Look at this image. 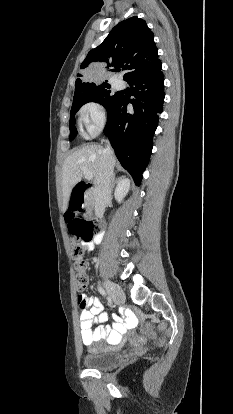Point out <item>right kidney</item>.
<instances>
[{"instance_id": "ca27d5eb", "label": "right kidney", "mask_w": 233, "mask_h": 414, "mask_svg": "<svg viewBox=\"0 0 233 414\" xmlns=\"http://www.w3.org/2000/svg\"><path fill=\"white\" fill-rule=\"evenodd\" d=\"M130 188V180L127 178H122L115 189L114 196L118 203H121L128 193Z\"/></svg>"}]
</instances>
